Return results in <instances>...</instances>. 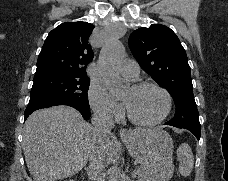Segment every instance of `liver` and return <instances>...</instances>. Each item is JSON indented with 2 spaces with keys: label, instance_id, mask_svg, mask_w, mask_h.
<instances>
[{
  "label": "liver",
  "instance_id": "liver-1",
  "mask_svg": "<svg viewBox=\"0 0 228 181\" xmlns=\"http://www.w3.org/2000/svg\"><path fill=\"white\" fill-rule=\"evenodd\" d=\"M150 131V129H149ZM23 151L34 181H60L85 167L96 145L92 127L72 107L40 109L24 125ZM115 137L103 139L106 151Z\"/></svg>",
  "mask_w": 228,
  "mask_h": 181
}]
</instances>
